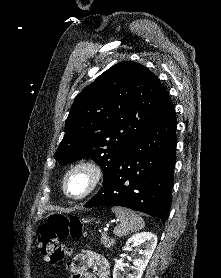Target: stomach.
Masks as SVG:
<instances>
[{"label":"stomach","instance_id":"stomach-1","mask_svg":"<svg viewBox=\"0 0 221 278\" xmlns=\"http://www.w3.org/2000/svg\"><path fill=\"white\" fill-rule=\"evenodd\" d=\"M83 223H89L91 220L90 219H82Z\"/></svg>","mask_w":221,"mask_h":278}]
</instances>
